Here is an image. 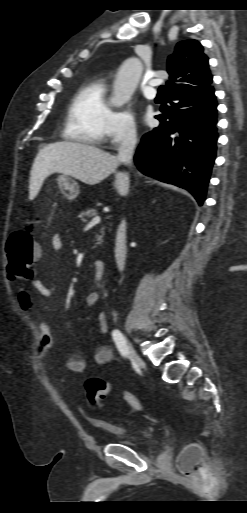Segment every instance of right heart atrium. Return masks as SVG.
<instances>
[{
  "label": "right heart atrium",
  "instance_id": "obj_1",
  "mask_svg": "<svg viewBox=\"0 0 247 513\" xmlns=\"http://www.w3.org/2000/svg\"><path fill=\"white\" fill-rule=\"evenodd\" d=\"M136 136L137 126L132 114L127 110L112 111L105 131L110 146L132 141Z\"/></svg>",
  "mask_w": 247,
  "mask_h": 513
}]
</instances>
